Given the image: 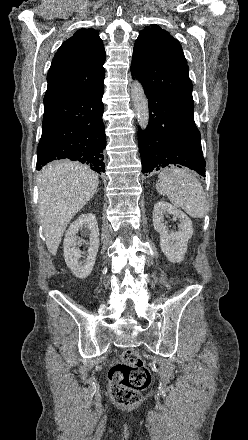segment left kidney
Listing matches in <instances>:
<instances>
[{"instance_id":"1","label":"left kidney","mask_w":248,"mask_h":440,"mask_svg":"<svg viewBox=\"0 0 248 440\" xmlns=\"http://www.w3.org/2000/svg\"><path fill=\"white\" fill-rule=\"evenodd\" d=\"M168 214L179 219V231L168 232L163 223L164 215ZM153 226L160 234V247L167 259L171 262H182L187 252L188 241L194 232L191 219L171 204L159 201L154 205Z\"/></svg>"}]
</instances>
